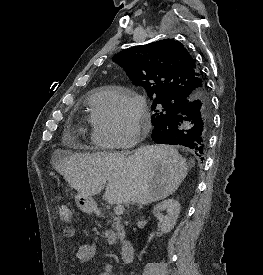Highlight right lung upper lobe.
<instances>
[{
    "label": "right lung upper lobe",
    "mask_w": 263,
    "mask_h": 275,
    "mask_svg": "<svg viewBox=\"0 0 263 275\" xmlns=\"http://www.w3.org/2000/svg\"><path fill=\"white\" fill-rule=\"evenodd\" d=\"M135 85L148 95L184 100L206 88L201 72L184 45L164 39L124 50L113 57Z\"/></svg>",
    "instance_id": "right-lung-upper-lobe-1"
}]
</instances>
